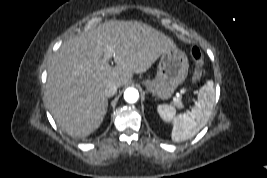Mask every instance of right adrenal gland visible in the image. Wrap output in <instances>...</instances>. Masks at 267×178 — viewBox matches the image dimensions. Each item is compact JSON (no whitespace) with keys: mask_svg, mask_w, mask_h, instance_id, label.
Instances as JSON below:
<instances>
[{"mask_svg":"<svg viewBox=\"0 0 267 178\" xmlns=\"http://www.w3.org/2000/svg\"><path fill=\"white\" fill-rule=\"evenodd\" d=\"M107 108H108V101L106 100V103H105V112L107 111Z\"/></svg>","mask_w":267,"mask_h":178,"instance_id":"right-adrenal-gland-1","label":"right adrenal gland"}]
</instances>
